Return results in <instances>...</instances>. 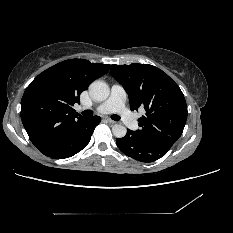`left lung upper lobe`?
Masks as SVG:
<instances>
[{"label": "left lung upper lobe", "mask_w": 233, "mask_h": 233, "mask_svg": "<svg viewBox=\"0 0 233 233\" xmlns=\"http://www.w3.org/2000/svg\"><path fill=\"white\" fill-rule=\"evenodd\" d=\"M111 74L127 92L131 110L144 107L136 134L151 142L172 146L181 136L187 105L179 86L162 70L149 64L111 65Z\"/></svg>", "instance_id": "1"}]
</instances>
